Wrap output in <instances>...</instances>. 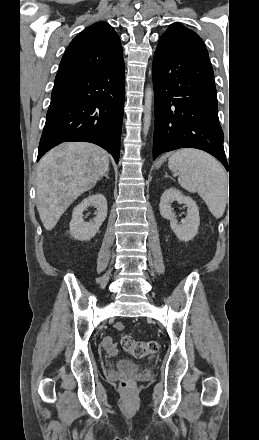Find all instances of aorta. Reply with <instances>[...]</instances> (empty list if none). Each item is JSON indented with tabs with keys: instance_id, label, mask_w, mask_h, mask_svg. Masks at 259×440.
<instances>
[{
	"instance_id": "1",
	"label": "aorta",
	"mask_w": 259,
	"mask_h": 440,
	"mask_svg": "<svg viewBox=\"0 0 259 440\" xmlns=\"http://www.w3.org/2000/svg\"><path fill=\"white\" fill-rule=\"evenodd\" d=\"M153 91L148 87L145 91L144 100V118H143V134L147 136L151 124V105H152Z\"/></svg>"
}]
</instances>
